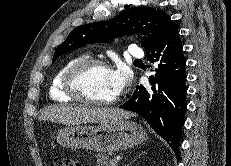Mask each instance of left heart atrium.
Returning a JSON list of instances; mask_svg holds the SVG:
<instances>
[{
	"mask_svg": "<svg viewBox=\"0 0 231 166\" xmlns=\"http://www.w3.org/2000/svg\"><path fill=\"white\" fill-rule=\"evenodd\" d=\"M113 88L117 95L121 94L129 85L131 77L129 71L124 67L110 70Z\"/></svg>",
	"mask_w": 231,
	"mask_h": 166,
	"instance_id": "left-heart-atrium-1",
	"label": "left heart atrium"
}]
</instances>
